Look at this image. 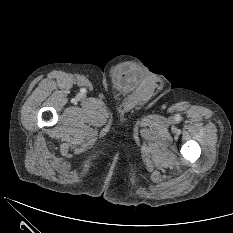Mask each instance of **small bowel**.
<instances>
[{
  "label": "small bowel",
  "mask_w": 233,
  "mask_h": 233,
  "mask_svg": "<svg viewBox=\"0 0 233 233\" xmlns=\"http://www.w3.org/2000/svg\"><path fill=\"white\" fill-rule=\"evenodd\" d=\"M140 80L139 69L131 63L117 66L113 72V81L116 88L122 92L131 91Z\"/></svg>",
  "instance_id": "obj_1"
}]
</instances>
